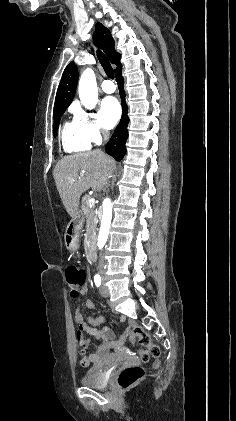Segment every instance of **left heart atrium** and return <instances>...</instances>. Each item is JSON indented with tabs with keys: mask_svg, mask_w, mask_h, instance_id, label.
<instances>
[{
	"mask_svg": "<svg viewBox=\"0 0 236 421\" xmlns=\"http://www.w3.org/2000/svg\"><path fill=\"white\" fill-rule=\"evenodd\" d=\"M103 123L107 128L114 127L121 117V108L115 97L109 96L101 103Z\"/></svg>",
	"mask_w": 236,
	"mask_h": 421,
	"instance_id": "obj_1",
	"label": "left heart atrium"
}]
</instances>
